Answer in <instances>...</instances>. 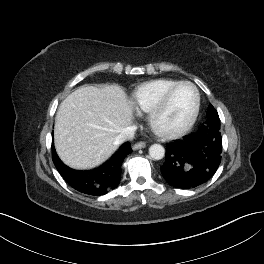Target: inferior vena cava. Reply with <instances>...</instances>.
<instances>
[{"mask_svg":"<svg viewBox=\"0 0 264 264\" xmlns=\"http://www.w3.org/2000/svg\"><path fill=\"white\" fill-rule=\"evenodd\" d=\"M136 126H128L116 137L115 144L119 145L126 141L132 140L136 131Z\"/></svg>","mask_w":264,"mask_h":264,"instance_id":"obj_1","label":"inferior vena cava"}]
</instances>
